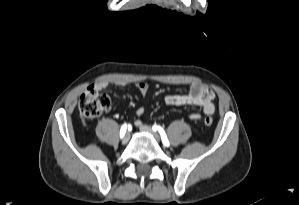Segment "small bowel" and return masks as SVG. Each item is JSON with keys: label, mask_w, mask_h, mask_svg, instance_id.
<instances>
[{"label": "small bowel", "mask_w": 299, "mask_h": 205, "mask_svg": "<svg viewBox=\"0 0 299 205\" xmlns=\"http://www.w3.org/2000/svg\"><path fill=\"white\" fill-rule=\"evenodd\" d=\"M106 82H98L93 85V88L97 91L106 88ZM140 95L145 97L147 95L149 86L145 82H139L136 84ZM215 94L209 88L194 83L191 85L190 90L183 94H168L165 96L164 101L167 105L171 106H182V105H194L202 108L203 113L206 115H212L215 112L214 105ZM145 113L144 107H139L136 111V125H140L142 122V117ZM201 115L199 113H192L190 119L199 120Z\"/></svg>", "instance_id": "obj_1"}]
</instances>
